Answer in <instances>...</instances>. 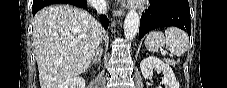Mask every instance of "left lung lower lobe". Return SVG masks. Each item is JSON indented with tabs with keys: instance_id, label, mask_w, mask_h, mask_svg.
<instances>
[{
	"instance_id": "0a47b994",
	"label": "left lung lower lobe",
	"mask_w": 227,
	"mask_h": 88,
	"mask_svg": "<svg viewBox=\"0 0 227 88\" xmlns=\"http://www.w3.org/2000/svg\"><path fill=\"white\" fill-rule=\"evenodd\" d=\"M139 38L152 29L178 27L190 36L191 22L188 0H150V7L142 13Z\"/></svg>"
}]
</instances>
